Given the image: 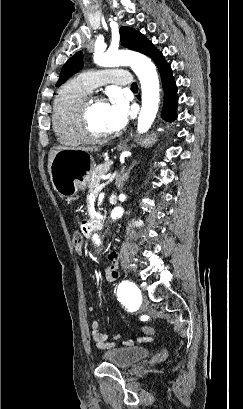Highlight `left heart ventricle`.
I'll return each instance as SVG.
<instances>
[{"mask_svg": "<svg viewBox=\"0 0 243 409\" xmlns=\"http://www.w3.org/2000/svg\"><path fill=\"white\" fill-rule=\"evenodd\" d=\"M106 103L93 101L89 107L88 118L90 129L96 134H107Z\"/></svg>", "mask_w": 243, "mask_h": 409, "instance_id": "1", "label": "left heart ventricle"}]
</instances>
